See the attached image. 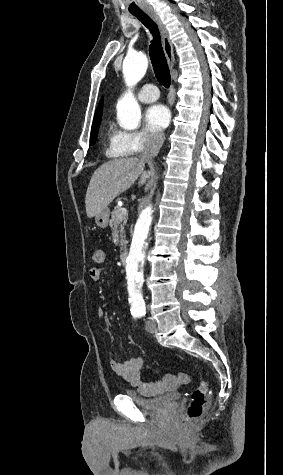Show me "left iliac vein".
I'll use <instances>...</instances> for the list:
<instances>
[{
	"instance_id": "obj_1",
	"label": "left iliac vein",
	"mask_w": 283,
	"mask_h": 475,
	"mask_svg": "<svg viewBox=\"0 0 283 475\" xmlns=\"http://www.w3.org/2000/svg\"><path fill=\"white\" fill-rule=\"evenodd\" d=\"M145 327H146V330L150 333L156 332V324L151 320L146 321Z\"/></svg>"
}]
</instances>
